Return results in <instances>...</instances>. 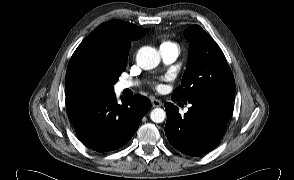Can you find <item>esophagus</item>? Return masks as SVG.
<instances>
[{"instance_id": "34e87169", "label": "esophagus", "mask_w": 294, "mask_h": 180, "mask_svg": "<svg viewBox=\"0 0 294 180\" xmlns=\"http://www.w3.org/2000/svg\"><path fill=\"white\" fill-rule=\"evenodd\" d=\"M151 103H152L153 107H159V106L162 105V102L160 100H157V99H152Z\"/></svg>"}]
</instances>
